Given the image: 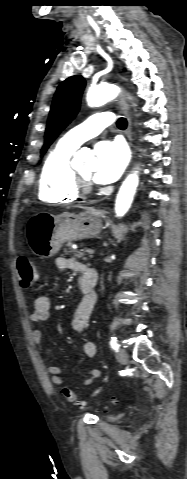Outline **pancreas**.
Returning a JSON list of instances; mask_svg holds the SVG:
<instances>
[{"instance_id":"cf45deb5","label":"pancreas","mask_w":187,"mask_h":479,"mask_svg":"<svg viewBox=\"0 0 187 479\" xmlns=\"http://www.w3.org/2000/svg\"><path fill=\"white\" fill-rule=\"evenodd\" d=\"M66 246H67V247H70V252L73 253V258H78V259H80V258L84 257V254H83V253L78 252V251H75V250H73V249L71 248V246H72V243H71V242H68V244H67ZM65 252H67V251H65Z\"/></svg>"}]
</instances>
